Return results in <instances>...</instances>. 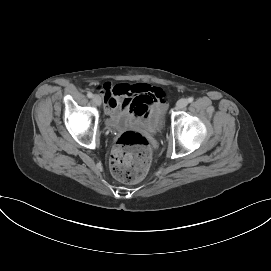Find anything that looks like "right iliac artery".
Returning a JSON list of instances; mask_svg holds the SVG:
<instances>
[{
    "label": "right iliac artery",
    "instance_id": "82829eb1",
    "mask_svg": "<svg viewBox=\"0 0 271 271\" xmlns=\"http://www.w3.org/2000/svg\"><path fill=\"white\" fill-rule=\"evenodd\" d=\"M87 96H88V98H92V97H93V94H92L91 92H88V93H87Z\"/></svg>",
    "mask_w": 271,
    "mask_h": 271
}]
</instances>
